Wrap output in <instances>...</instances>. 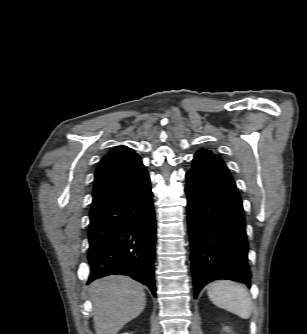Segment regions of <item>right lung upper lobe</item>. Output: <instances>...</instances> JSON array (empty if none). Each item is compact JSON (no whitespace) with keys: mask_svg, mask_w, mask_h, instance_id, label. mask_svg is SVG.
<instances>
[{"mask_svg":"<svg viewBox=\"0 0 307 334\" xmlns=\"http://www.w3.org/2000/svg\"><path fill=\"white\" fill-rule=\"evenodd\" d=\"M147 175L141 158L133 150L126 146L115 147L103 157L96 169L90 213L141 182Z\"/></svg>","mask_w":307,"mask_h":334,"instance_id":"1","label":"right lung upper lobe"}]
</instances>
